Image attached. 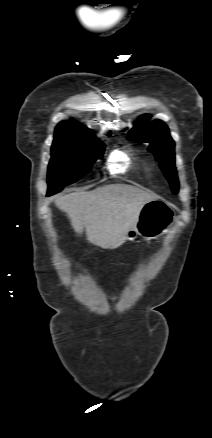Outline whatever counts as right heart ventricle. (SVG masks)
Returning a JSON list of instances; mask_svg holds the SVG:
<instances>
[{"mask_svg":"<svg viewBox=\"0 0 212 438\" xmlns=\"http://www.w3.org/2000/svg\"><path fill=\"white\" fill-rule=\"evenodd\" d=\"M132 157L122 151H115L110 156L108 167L112 173L125 172L132 165Z\"/></svg>","mask_w":212,"mask_h":438,"instance_id":"e07e8e85","label":"right heart ventricle"}]
</instances>
